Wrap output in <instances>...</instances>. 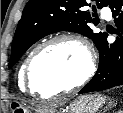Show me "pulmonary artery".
<instances>
[{"label": "pulmonary artery", "mask_w": 123, "mask_h": 113, "mask_svg": "<svg viewBox=\"0 0 123 113\" xmlns=\"http://www.w3.org/2000/svg\"><path fill=\"white\" fill-rule=\"evenodd\" d=\"M102 17H104L107 20L111 19V11L108 8H105L102 10Z\"/></svg>", "instance_id": "e3ab8cb5"}]
</instances>
